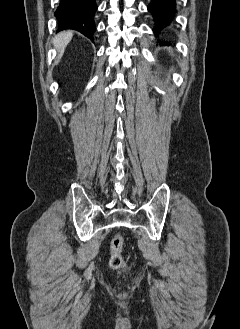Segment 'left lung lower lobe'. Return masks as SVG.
<instances>
[{
    "instance_id": "1",
    "label": "left lung lower lobe",
    "mask_w": 240,
    "mask_h": 329,
    "mask_svg": "<svg viewBox=\"0 0 240 329\" xmlns=\"http://www.w3.org/2000/svg\"><path fill=\"white\" fill-rule=\"evenodd\" d=\"M155 22L153 31L158 37L161 31L170 25L176 12V0H152L148 6ZM166 42H163L165 44Z\"/></svg>"
}]
</instances>
